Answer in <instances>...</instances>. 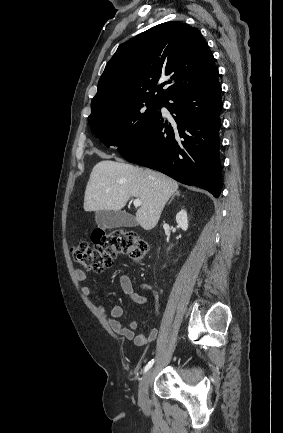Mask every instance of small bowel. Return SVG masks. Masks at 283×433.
Masks as SVG:
<instances>
[{
    "mask_svg": "<svg viewBox=\"0 0 283 433\" xmlns=\"http://www.w3.org/2000/svg\"><path fill=\"white\" fill-rule=\"evenodd\" d=\"M76 279L79 282H83L87 279V273L83 270H77L75 272ZM122 288L126 295H128L134 302L137 304H146L147 298L138 294L134 291L133 286L129 279L123 278L121 280ZM82 293L86 297H90L93 293L92 288L88 285L82 287ZM99 310L102 314H105L106 311L103 307H99ZM124 314V310L120 305H114L111 307L109 311L110 319L109 326L110 328L117 334L124 336L125 338L132 340L137 346H144L149 342L153 341L157 336V330L152 328L147 333H137L138 323L136 321H131L128 323L122 322L120 319Z\"/></svg>",
    "mask_w": 283,
    "mask_h": 433,
    "instance_id": "c3829d8e",
    "label": "small bowel"
}]
</instances>
